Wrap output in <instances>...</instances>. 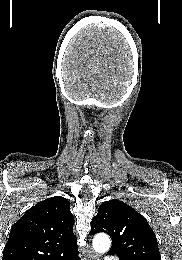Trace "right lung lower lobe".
Instances as JSON below:
<instances>
[{
  "label": "right lung lower lobe",
  "mask_w": 182,
  "mask_h": 260,
  "mask_svg": "<svg viewBox=\"0 0 182 260\" xmlns=\"http://www.w3.org/2000/svg\"><path fill=\"white\" fill-rule=\"evenodd\" d=\"M56 260H81L80 257L78 256V251L70 253L66 256H63L61 258H58Z\"/></svg>",
  "instance_id": "obj_1"
}]
</instances>
